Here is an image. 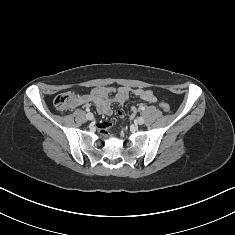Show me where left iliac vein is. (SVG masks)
Wrapping results in <instances>:
<instances>
[{"mask_svg": "<svg viewBox=\"0 0 235 235\" xmlns=\"http://www.w3.org/2000/svg\"><path fill=\"white\" fill-rule=\"evenodd\" d=\"M144 118L142 117V116H140V117H138L137 119H136V123L138 124V125H142L143 123H144Z\"/></svg>", "mask_w": 235, "mask_h": 235, "instance_id": "obj_1", "label": "left iliac vein"}]
</instances>
